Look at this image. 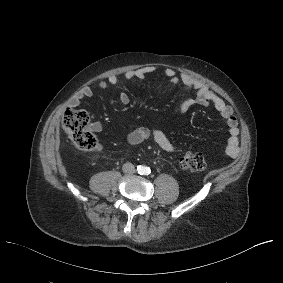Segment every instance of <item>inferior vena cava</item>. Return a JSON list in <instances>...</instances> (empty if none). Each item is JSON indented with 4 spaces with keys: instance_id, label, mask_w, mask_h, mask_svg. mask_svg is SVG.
<instances>
[{
    "instance_id": "1",
    "label": "inferior vena cava",
    "mask_w": 283,
    "mask_h": 283,
    "mask_svg": "<svg viewBox=\"0 0 283 283\" xmlns=\"http://www.w3.org/2000/svg\"><path fill=\"white\" fill-rule=\"evenodd\" d=\"M123 172L125 173H134L135 172V167L132 163H125L122 167Z\"/></svg>"
}]
</instances>
